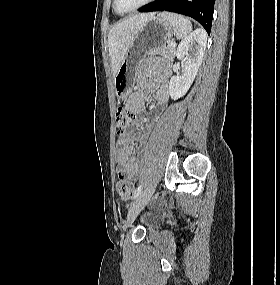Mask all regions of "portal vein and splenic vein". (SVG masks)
Segmentation results:
<instances>
[{
  "label": "portal vein and splenic vein",
  "mask_w": 280,
  "mask_h": 285,
  "mask_svg": "<svg viewBox=\"0 0 280 285\" xmlns=\"http://www.w3.org/2000/svg\"><path fill=\"white\" fill-rule=\"evenodd\" d=\"M169 45H170L172 48H175V47H176V43H175V42H170Z\"/></svg>",
  "instance_id": "obj_1"
}]
</instances>
